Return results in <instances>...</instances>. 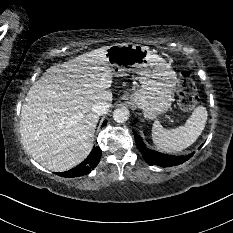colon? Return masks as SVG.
Returning <instances> with one entry per match:
<instances>
[{"label":"colon","instance_id":"5ec220e1","mask_svg":"<svg viewBox=\"0 0 233 233\" xmlns=\"http://www.w3.org/2000/svg\"><path fill=\"white\" fill-rule=\"evenodd\" d=\"M178 101L180 107L184 110H191L198 103L195 84L192 80L191 72L187 69H183L179 74Z\"/></svg>","mask_w":233,"mask_h":233}]
</instances>
